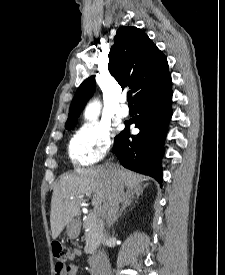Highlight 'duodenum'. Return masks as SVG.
<instances>
[{"instance_id": "410a0bca", "label": "duodenum", "mask_w": 225, "mask_h": 275, "mask_svg": "<svg viewBox=\"0 0 225 275\" xmlns=\"http://www.w3.org/2000/svg\"><path fill=\"white\" fill-rule=\"evenodd\" d=\"M101 255H92L90 257V267L92 275H97L100 268Z\"/></svg>"}]
</instances>
